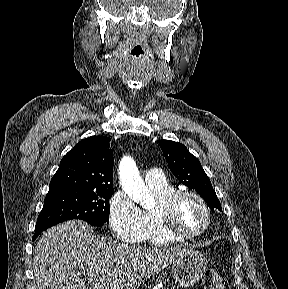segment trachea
I'll return each mask as SVG.
<instances>
[{"label": "trachea", "mask_w": 288, "mask_h": 289, "mask_svg": "<svg viewBox=\"0 0 288 289\" xmlns=\"http://www.w3.org/2000/svg\"><path fill=\"white\" fill-rule=\"evenodd\" d=\"M141 53H143V52H138V51H135V50L131 51V55H132L133 58H140Z\"/></svg>", "instance_id": "3493384b"}]
</instances>
